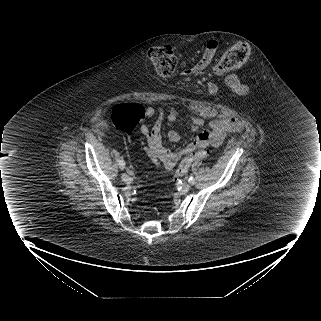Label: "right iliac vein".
I'll return each mask as SVG.
<instances>
[{
  "label": "right iliac vein",
  "mask_w": 321,
  "mask_h": 321,
  "mask_svg": "<svg viewBox=\"0 0 321 321\" xmlns=\"http://www.w3.org/2000/svg\"><path fill=\"white\" fill-rule=\"evenodd\" d=\"M122 179L127 184L131 183V181H132L131 177L127 174H122Z\"/></svg>",
  "instance_id": "obj_1"
}]
</instances>
